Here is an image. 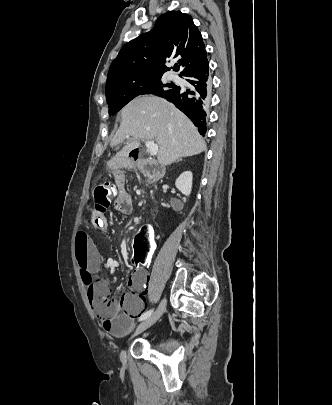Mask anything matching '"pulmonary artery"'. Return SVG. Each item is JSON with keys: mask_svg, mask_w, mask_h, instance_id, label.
<instances>
[{"mask_svg": "<svg viewBox=\"0 0 332 405\" xmlns=\"http://www.w3.org/2000/svg\"><path fill=\"white\" fill-rule=\"evenodd\" d=\"M171 79H172L173 81H178V80H179V78L176 77V76H174V75L171 76Z\"/></svg>", "mask_w": 332, "mask_h": 405, "instance_id": "1", "label": "pulmonary artery"}]
</instances>
